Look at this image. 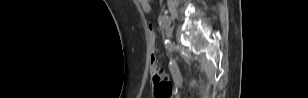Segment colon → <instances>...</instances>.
I'll return each mask as SVG.
<instances>
[{
    "instance_id": "obj_1",
    "label": "colon",
    "mask_w": 308,
    "mask_h": 98,
    "mask_svg": "<svg viewBox=\"0 0 308 98\" xmlns=\"http://www.w3.org/2000/svg\"><path fill=\"white\" fill-rule=\"evenodd\" d=\"M150 39L154 44V35L152 26L150 25ZM150 72L152 76V84L154 96L156 98H167L172 93V83L159 70V62L156 56L155 48H152L150 58Z\"/></svg>"
}]
</instances>
